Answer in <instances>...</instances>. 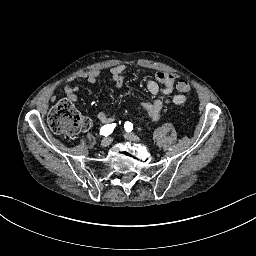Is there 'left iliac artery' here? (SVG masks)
<instances>
[{
	"mask_svg": "<svg viewBox=\"0 0 256 256\" xmlns=\"http://www.w3.org/2000/svg\"><path fill=\"white\" fill-rule=\"evenodd\" d=\"M124 128H125L126 132H131L133 130V124L131 122L127 121L124 124Z\"/></svg>",
	"mask_w": 256,
	"mask_h": 256,
	"instance_id": "obj_1",
	"label": "left iliac artery"
}]
</instances>
